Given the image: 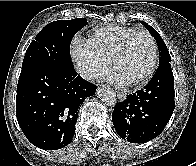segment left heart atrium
Instances as JSON below:
<instances>
[{"mask_svg":"<svg viewBox=\"0 0 196 166\" xmlns=\"http://www.w3.org/2000/svg\"><path fill=\"white\" fill-rule=\"evenodd\" d=\"M100 78L108 80L118 86H125L129 83L124 78H122L114 69L100 75Z\"/></svg>","mask_w":196,"mask_h":166,"instance_id":"left-heart-atrium-1","label":"left heart atrium"}]
</instances>
